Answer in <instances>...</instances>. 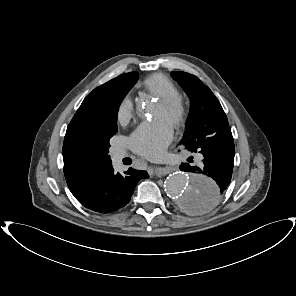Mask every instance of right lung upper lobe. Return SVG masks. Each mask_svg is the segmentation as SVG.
I'll list each match as a JSON object with an SVG mask.
<instances>
[{
  "mask_svg": "<svg viewBox=\"0 0 296 296\" xmlns=\"http://www.w3.org/2000/svg\"><path fill=\"white\" fill-rule=\"evenodd\" d=\"M133 73L122 74L95 88L72 118L64 138V174L72 194L78 193L94 177L112 167L108 150L92 133L90 116L111 90Z\"/></svg>",
  "mask_w": 296,
  "mask_h": 296,
  "instance_id": "cb5924a9",
  "label": "right lung upper lobe"
}]
</instances>
